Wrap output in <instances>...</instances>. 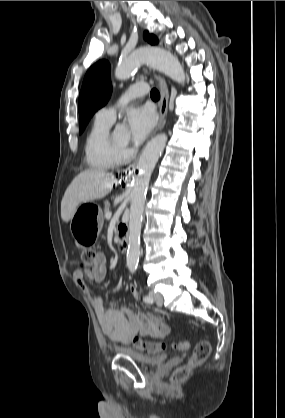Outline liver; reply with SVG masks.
<instances>
[{
	"label": "liver",
	"instance_id": "1",
	"mask_svg": "<svg viewBox=\"0 0 285 418\" xmlns=\"http://www.w3.org/2000/svg\"><path fill=\"white\" fill-rule=\"evenodd\" d=\"M116 182L114 175L101 169H88L80 172L66 189L61 202V218L71 220L78 205L102 199Z\"/></svg>",
	"mask_w": 285,
	"mask_h": 418
}]
</instances>
